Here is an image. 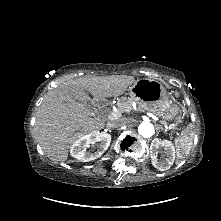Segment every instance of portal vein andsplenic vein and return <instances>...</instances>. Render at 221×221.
<instances>
[{"mask_svg": "<svg viewBox=\"0 0 221 221\" xmlns=\"http://www.w3.org/2000/svg\"><path fill=\"white\" fill-rule=\"evenodd\" d=\"M121 110L113 111L109 114L108 119L110 120H116L121 117ZM165 129L168 130V127L164 125Z\"/></svg>", "mask_w": 221, "mask_h": 221, "instance_id": "portal-vein-and-splenic-vein-1", "label": "portal vein and splenic vein"}]
</instances>
